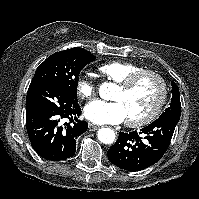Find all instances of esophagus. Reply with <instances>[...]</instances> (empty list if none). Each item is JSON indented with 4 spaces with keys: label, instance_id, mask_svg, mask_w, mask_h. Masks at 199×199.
I'll list each match as a JSON object with an SVG mask.
<instances>
[{
    "label": "esophagus",
    "instance_id": "1",
    "mask_svg": "<svg viewBox=\"0 0 199 199\" xmlns=\"http://www.w3.org/2000/svg\"><path fill=\"white\" fill-rule=\"evenodd\" d=\"M98 128H99V126H97V125L89 124V130H90V131H95V130H97Z\"/></svg>",
    "mask_w": 199,
    "mask_h": 199
}]
</instances>
